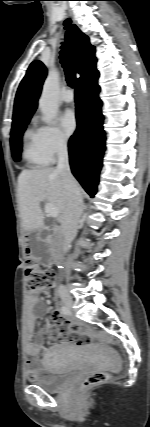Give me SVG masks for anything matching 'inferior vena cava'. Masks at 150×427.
Instances as JSON below:
<instances>
[{"label":"inferior vena cava","mask_w":150,"mask_h":427,"mask_svg":"<svg viewBox=\"0 0 150 427\" xmlns=\"http://www.w3.org/2000/svg\"><path fill=\"white\" fill-rule=\"evenodd\" d=\"M57 155L56 170L61 174L66 190V207L61 219V233L64 239L63 251L66 252L68 244L73 241L77 233L79 218L83 212V199L78 183L70 170L66 142L58 144Z\"/></svg>","instance_id":"1"}]
</instances>
